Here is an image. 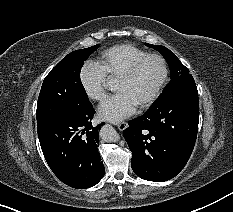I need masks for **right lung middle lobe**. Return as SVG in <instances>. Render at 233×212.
Masks as SVG:
<instances>
[{
    "mask_svg": "<svg viewBox=\"0 0 233 212\" xmlns=\"http://www.w3.org/2000/svg\"><path fill=\"white\" fill-rule=\"evenodd\" d=\"M99 44L71 52L46 76L37 104V130L91 106L80 80L84 61Z\"/></svg>",
    "mask_w": 233,
    "mask_h": 212,
    "instance_id": "dd1d6c3e",
    "label": "right lung middle lobe"
}]
</instances>
